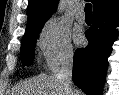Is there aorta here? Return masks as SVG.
I'll return each instance as SVG.
<instances>
[{"label": "aorta", "mask_w": 119, "mask_h": 95, "mask_svg": "<svg viewBox=\"0 0 119 95\" xmlns=\"http://www.w3.org/2000/svg\"><path fill=\"white\" fill-rule=\"evenodd\" d=\"M62 8H63V4L60 3L59 8H58V12H59V13L62 11Z\"/></svg>", "instance_id": "1"}]
</instances>
